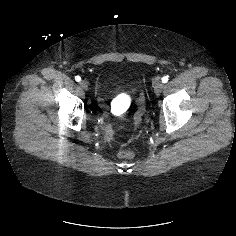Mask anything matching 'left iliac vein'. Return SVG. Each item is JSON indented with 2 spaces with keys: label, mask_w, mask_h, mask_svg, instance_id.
<instances>
[{
  "label": "left iliac vein",
  "mask_w": 236,
  "mask_h": 236,
  "mask_svg": "<svg viewBox=\"0 0 236 236\" xmlns=\"http://www.w3.org/2000/svg\"><path fill=\"white\" fill-rule=\"evenodd\" d=\"M164 89V84L161 81H157L154 83V91L156 94H159L163 91Z\"/></svg>",
  "instance_id": "4c4485c4"
}]
</instances>
